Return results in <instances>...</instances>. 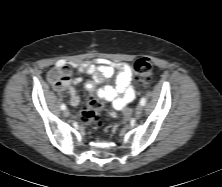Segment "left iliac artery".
Instances as JSON below:
<instances>
[{
  "instance_id": "44dca946",
  "label": "left iliac artery",
  "mask_w": 222,
  "mask_h": 187,
  "mask_svg": "<svg viewBox=\"0 0 222 187\" xmlns=\"http://www.w3.org/2000/svg\"><path fill=\"white\" fill-rule=\"evenodd\" d=\"M145 103H146V99H145V98H141V100H140V104H141L142 106H144Z\"/></svg>"
}]
</instances>
